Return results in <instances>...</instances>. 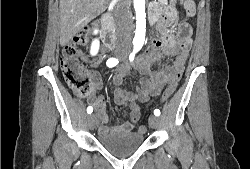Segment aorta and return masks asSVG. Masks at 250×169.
<instances>
[{
  "label": "aorta",
  "instance_id": "obj_1",
  "mask_svg": "<svg viewBox=\"0 0 250 169\" xmlns=\"http://www.w3.org/2000/svg\"><path fill=\"white\" fill-rule=\"evenodd\" d=\"M135 18H136V32L134 40L144 42L146 32V12L145 0H134Z\"/></svg>",
  "mask_w": 250,
  "mask_h": 169
}]
</instances>
